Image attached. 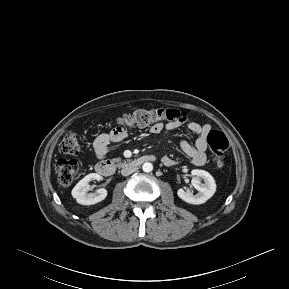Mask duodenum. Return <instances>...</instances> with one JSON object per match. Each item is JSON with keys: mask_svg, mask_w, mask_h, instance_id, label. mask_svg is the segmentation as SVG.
Returning <instances> with one entry per match:
<instances>
[{"mask_svg": "<svg viewBox=\"0 0 289 289\" xmlns=\"http://www.w3.org/2000/svg\"><path fill=\"white\" fill-rule=\"evenodd\" d=\"M154 160H155V157L153 155H142V156H139V157L133 159L132 161L124 163L122 165L123 166H130V167H138L144 163L152 162ZM119 166L120 165L115 163V162H112V161L107 160V159H102L96 163L95 170L100 175L112 176L116 172V169Z\"/></svg>", "mask_w": 289, "mask_h": 289, "instance_id": "1", "label": "duodenum"}]
</instances>
